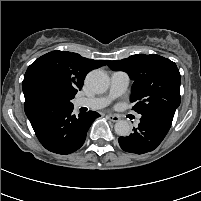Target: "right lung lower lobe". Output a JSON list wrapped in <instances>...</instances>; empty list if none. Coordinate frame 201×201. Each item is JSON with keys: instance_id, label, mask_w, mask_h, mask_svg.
<instances>
[{"instance_id": "right-lung-lower-lobe-1", "label": "right lung lower lobe", "mask_w": 201, "mask_h": 201, "mask_svg": "<svg viewBox=\"0 0 201 201\" xmlns=\"http://www.w3.org/2000/svg\"><path fill=\"white\" fill-rule=\"evenodd\" d=\"M73 104L38 99L24 105L25 113L40 143L49 151L69 154L78 150L95 118V111L73 113Z\"/></svg>"}]
</instances>
